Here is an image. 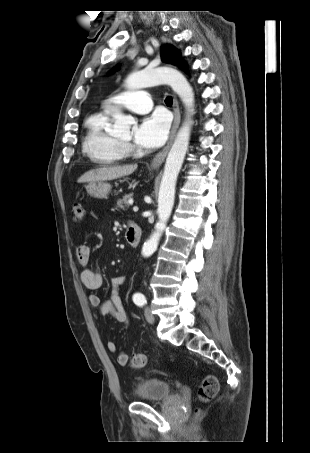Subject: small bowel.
Masks as SVG:
<instances>
[{
	"instance_id": "small-bowel-1",
	"label": "small bowel",
	"mask_w": 310,
	"mask_h": 453,
	"mask_svg": "<svg viewBox=\"0 0 310 453\" xmlns=\"http://www.w3.org/2000/svg\"><path fill=\"white\" fill-rule=\"evenodd\" d=\"M76 256L79 264L84 267L80 272V281L87 289L98 290L103 283L102 274L96 269L86 267L91 258L90 247L85 244L79 245L76 249ZM126 280V275H118L110 279L111 291L107 301H102L99 295L94 292L88 295L90 305L97 308L101 315H109L124 325L128 324L129 316L120 296L119 288ZM107 349L111 353H116L117 346L113 341H108ZM116 360L119 365L126 366L129 362V356L125 352H118Z\"/></svg>"
}]
</instances>
